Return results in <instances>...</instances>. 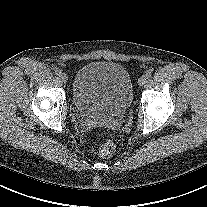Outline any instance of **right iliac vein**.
Masks as SVG:
<instances>
[{
	"mask_svg": "<svg viewBox=\"0 0 207 207\" xmlns=\"http://www.w3.org/2000/svg\"><path fill=\"white\" fill-rule=\"evenodd\" d=\"M59 79H60L62 82L66 83L67 80H68V77H67V75H66L65 73H61V74L59 75Z\"/></svg>",
	"mask_w": 207,
	"mask_h": 207,
	"instance_id": "63e3f726",
	"label": "right iliac vein"
}]
</instances>
